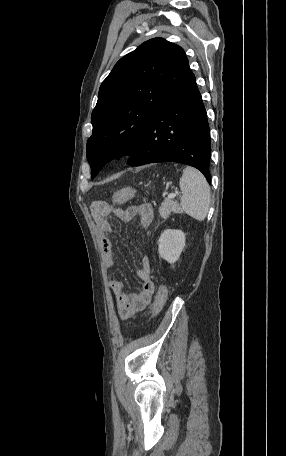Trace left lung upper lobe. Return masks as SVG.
<instances>
[{
	"mask_svg": "<svg viewBox=\"0 0 286 456\" xmlns=\"http://www.w3.org/2000/svg\"><path fill=\"white\" fill-rule=\"evenodd\" d=\"M190 70L184 50L154 38L121 58L102 82L87 142L91 177L130 155L152 118Z\"/></svg>",
	"mask_w": 286,
	"mask_h": 456,
	"instance_id": "5c2ea615",
	"label": "left lung upper lobe"
}]
</instances>
